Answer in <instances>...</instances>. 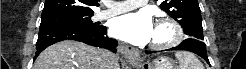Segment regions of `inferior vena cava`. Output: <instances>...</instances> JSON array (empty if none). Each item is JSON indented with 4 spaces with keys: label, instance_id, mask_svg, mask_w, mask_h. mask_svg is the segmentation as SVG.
Wrapping results in <instances>:
<instances>
[{
    "label": "inferior vena cava",
    "instance_id": "1",
    "mask_svg": "<svg viewBox=\"0 0 246 69\" xmlns=\"http://www.w3.org/2000/svg\"><path fill=\"white\" fill-rule=\"evenodd\" d=\"M117 61H118L117 56L114 53L109 52L108 53V66L109 67H107V69H114L115 67L113 66L117 64Z\"/></svg>",
    "mask_w": 246,
    "mask_h": 69
}]
</instances>
